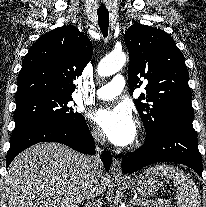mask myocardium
<instances>
[{"label": "myocardium", "mask_w": 206, "mask_h": 207, "mask_svg": "<svg viewBox=\"0 0 206 207\" xmlns=\"http://www.w3.org/2000/svg\"><path fill=\"white\" fill-rule=\"evenodd\" d=\"M141 138H142V133L139 132L138 135H137V140H136L137 143L140 142Z\"/></svg>", "instance_id": "obj_1"}]
</instances>
